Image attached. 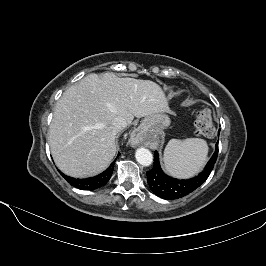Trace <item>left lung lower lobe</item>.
I'll list each match as a JSON object with an SVG mask.
<instances>
[{"label": "left lung lower lobe", "instance_id": "left-lung-lower-lobe-1", "mask_svg": "<svg viewBox=\"0 0 266 266\" xmlns=\"http://www.w3.org/2000/svg\"><path fill=\"white\" fill-rule=\"evenodd\" d=\"M220 132V131H219ZM218 132V134H219ZM218 156V143L204 170L195 178L178 180L167 176L161 169L158 153L154 154V166L147 172V181L153 193L163 199L172 200L188 195L202 185L210 175Z\"/></svg>", "mask_w": 266, "mask_h": 266}]
</instances>
